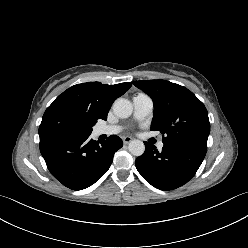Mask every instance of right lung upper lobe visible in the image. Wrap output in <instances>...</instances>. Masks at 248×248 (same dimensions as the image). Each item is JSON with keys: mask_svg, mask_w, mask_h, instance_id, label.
Masks as SVG:
<instances>
[{"mask_svg": "<svg viewBox=\"0 0 248 248\" xmlns=\"http://www.w3.org/2000/svg\"><path fill=\"white\" fill-rule=\"evenodd\" d=\"M132 83L115 85L100 82H88L74 85L60 94L45 112L65 109L77 113L96 123L98 119H107L112 103L123 95Z\"/></svg>", "mask_w": 248, "mask_h": 248, "instance_id": "right-lung-upper-lobe-1", "label": "right lung upper lobe"}]
</instances>
